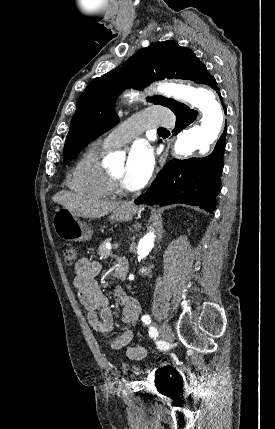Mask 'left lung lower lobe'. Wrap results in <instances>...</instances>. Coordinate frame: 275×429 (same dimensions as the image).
Returning <instances> with one entry per match:
<instances>
[{
	"instance_id": "0a47b994",
	"label": "left lung lower lobe",
	"mask_w": 275,
	"mask_h": 429,
	"mask_svg": "<svg viewBox=\"0 0 275 429\" xmlns=\"http://www.w3.org/2000/svg\"><path fill=\"white\" fill-rule=\"evenodd\" d=\"M197 83L206 84L219 93L216 80L208 73L206 66L201 68ZM220 99L222 100L221 97ZM173 112L176 115L174 134L190 125L198 114L184 104L176 107ZM226 133L225 127L224 133L209 156L169 161L146 193L135 201L136 204L165 206L185 203L213 213L215 197L220 190Z\"/></svg>"
}]
</instances>
